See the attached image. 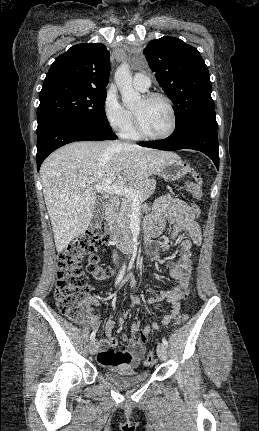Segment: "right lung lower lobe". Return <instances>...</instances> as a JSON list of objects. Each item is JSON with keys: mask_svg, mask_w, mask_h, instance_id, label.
Returning a JSON list of instances; mask_svg holds the SVG:
<instances>
[{"mask_svg": "<svg viewBox=\"0 0 259 431\" xmlns=\"http://www.w3.org/2000/svg\"><path fill=\"white\" fill-rule=\"evenodd\" d=\"M116 139L108 124H97L74 117H57L37 127V169L57 148L74 141Z\"/></svg>", "mask_w": 259, "mask_h": 431, "instance_id": "obj_1", "label": "right lung lower lobe"}]
</instances>
